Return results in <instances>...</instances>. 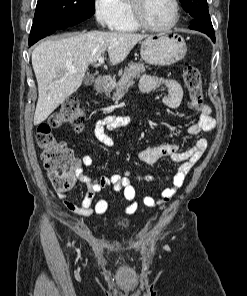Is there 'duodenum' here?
<instances>
[{"mask_svg":"<svg viewBox=\"0 0 247 296\" xmlns=\"http://www.w3.org/2000/svg\"><path fill=\"white\" fill-rule=\"evenodd\" d=\"M104 86L109 89L111 87V83L109 81H104Z\"/></svg>","mask_w":247,"mask_h":296,"instance_id":"1","label":"duodenum"}]
</instances>
